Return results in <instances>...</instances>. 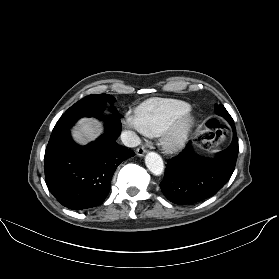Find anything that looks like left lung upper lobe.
Wrapping results in <instances>:
<instances>
[{
	"instance_id": "1",
	"label": "left lung upper lobe",
	"mask_w": 279,
	"mask_h": 279,
	"mask_svg": "<svg viewBox=\"0 0 279 279\" xmlns=\"http://www.w3.org/2000/svg\"><path fill=\"white\" fill-rule=\"evenodd\" d=\"M215 111L218 115L223 116L227 121L232 120V117L229 115V113L227 112V110L225 109V107L223 105H215Z\"/></svg>"
}]
</instances>
